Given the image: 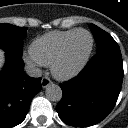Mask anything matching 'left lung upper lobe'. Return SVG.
Wrapping results in <instances>:
<instances>
[{"mask_svg": "<svg viewBox=\"0 0 128 128\" xmlns=\"http://www.w3.org/2000/svg\"><path fill=\"white\" fill-rule=\"evenodd\" d=\"M90 29L96 41L97 52L105 48L118 47L117 42L106 31L102 30L101 28H99L94 24L90 25Z\"/></svg>", "mask_w": 128, "mask_h": 128, "instance_id": "5c2ea615", "label": "left lung upper lobe"}]
</instances>
